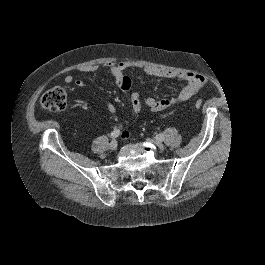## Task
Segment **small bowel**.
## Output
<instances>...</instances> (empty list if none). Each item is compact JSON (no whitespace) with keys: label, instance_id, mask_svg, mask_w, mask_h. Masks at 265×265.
<instances>
[{"label":"small bowel","instance_id":"c3829d8e","mask_svg":"<svg viewBox=\"0 0 265 265\" xmlns=\"http://www.w3.org/2000/svg\"><path fill=\"white\" fill-rule=\"evenodd\" d=\"M99 68L100 67L98 65H86L80 67L78 71L80 73H88L95 72L99 70ZM104 68L111 73L119 89L124 92H128L132 87V80L125 75V71L130 68L141 69L149 76L172 78L186 82L185 87L177 95L164 99H154L152 97L144 98L139 92H133L131 94V106L135 113L140 112L143 106H145L150 112L154 113L173 108L176 105L186 102L194 97L206 83V79L196 73L163 70L150 66H144L136 62L124 61L119 63H107L104 65ZM64 81L67 84H74L79 88L84 86V82L74 75H67ZM105 105L110 114H115L117 112L116 106L112 102L106 101ZM127 135L128 133L125 132L124 136Z\"/></svg>","mask_w":265,"mask_h":265}]
</instances>
